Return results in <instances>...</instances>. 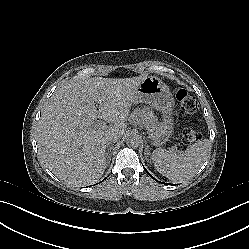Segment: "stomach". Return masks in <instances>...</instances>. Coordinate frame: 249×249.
<instances>
[{
  "instance_id": "obj_1",
  "label": "stomach",
  "mask_w": 249,
  "mask_h": 249,
  "mask_svg": "<svg viewBox=\"0 0 249 249\" xmlns=\"http://www.w3.org/2000/svg\"><path fill=\"white\" fill-rule=\"evenodd\" d=\"M135 103L143 102L164 115L159 135H153L152 141L160 145L172 135L173 124L168 117L172 110V94L158 78H145L135 89Z\"/></svg>"
}]
</instances>
